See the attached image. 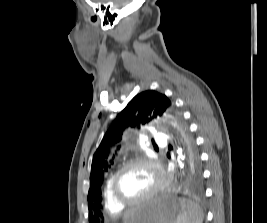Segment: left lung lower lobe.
I'll use <instances>...</instances> for the list:
<instances>
[{"mask_svg":"<svg viewBox=\"0 0 267 223\" xmlns=\"http://www.w3.org/2000/svg\"><path fill=\"white\" fill-rule=\"evenodd\" d=\"M184 175L189 176V178L191 179L187 181V189L200 188L198 182L201 181L202 176H204V171H185ZM168 182H179V177H168Z\"/></svg>","mask_w":267,"mask_h":223,"instance_id":"1","label":"left lung lower lobe"}]
</instances>
